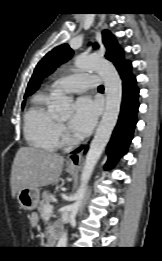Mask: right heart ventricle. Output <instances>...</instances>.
I'll use <instances>...</instances> for the list:
<instances>
[{
  "instance_id": "right-heart-ventricle-1",
  "label": "right heart ventricle",
  "mask_w": 162,
  "mask_h": 261,
  "mask_svg": "<svg viewBox=\"0 0 162 261\" xmlns=\"http://www.w3.org/2000/svg\"><path fill=\"white\" fill-rule=\"evenodd\" d=\"M47 93H37L24 116V134L28 143L35 148L53 151L59 145V122L50 111Z\"/></svg>"
}]
</instances>
